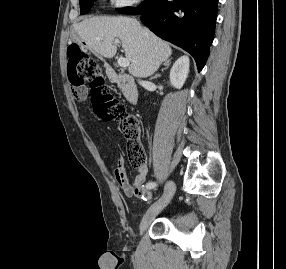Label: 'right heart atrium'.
Listing matches in <instances>:
<instances>
[{
    "instance_id": "obj_1",
    "label": "right heart atrium",
    "mask_w": 286,
    "mask_h": 269,
    "mask_svg": "<svg viewBox=\"0 0 286 269\" xmlns=\"http://www.w3.org/2000/svg\"><path fill=\"white\" fill-rule=\"evenodd\" d=\"M114 8H126L139 4L142 0H109Z\"/></svg>"
}]
</instances>
